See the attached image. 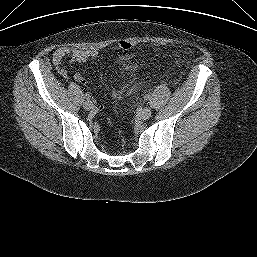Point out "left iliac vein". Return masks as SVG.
<instances>
[{"mask_svg": "<svg viewBox=\"0 0 257 257\" xmlns=\"http://www.w3.org/2000/svg\"><path fill=\"white\" fill-rule=\"evenodd\" d=\"M151 114H152L151 108L145 107L139 112V117L141 120H147L148 118H150Z\"/></svg>", "mask_w": 257, "mask_h": 257, "instance_id": "1", "label": "left iliac vein"}]
</instances>
